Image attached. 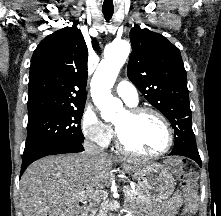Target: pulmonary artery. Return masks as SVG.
<instances>
[{"label":"pulmonary artery","instance_id":"e3ab8cb5","mask_svg":"<svg viewBox=\"0 0 221 216\" xmlns=\"http://www.w3.org/2000/svg\"><path fill=\"white\" fill-rule=\"evenodd\" d=\"M116 93L130 106H135L138 103L137 89L127 80H121L118 82L116 85Z\"/></svg>","mask_w":221,"mask_h":216}]
</instances>
